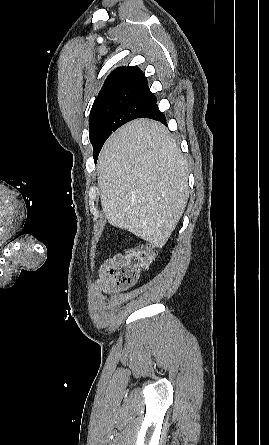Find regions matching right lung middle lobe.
<instances>
[{
	"mask_svg": "<svg viewBox=\"0 0 269 445\" xmlns=\"http://www.w3.org/2000/svg\"><path fill=\"white\" fill-rule=\"evenodd\" d=\"M148 88H131L109 92L95 99L89 117V137L93 145L94 161L113 131L140 117L156 102Z\"/></svg>",
	"mask_w": 269,
	"mask_h": 445,
	"instance_id": "dd1d6c3e",
	"label": "right lung middle lobe"
}]
</instances>
